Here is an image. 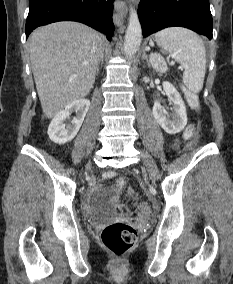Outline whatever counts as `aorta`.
Masks as SVG:
<instances>
[{"label": "aorta", "instance_id": "obj_1", "mask_svg": "<svg viewBox=\"0 0 233 284\" xmlns=\"http://www.w3.org/2000/svg\"><path fill=\"white\" fill-rule=\"evenodd\" d=\"M142 40V29L137 12L131 7L129 24L124 39V53L126 56H133L139 49Z\"/></svg>", "mask_w": 233, "mask_h": 284}]
</instances>
